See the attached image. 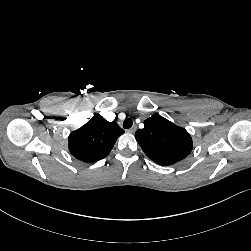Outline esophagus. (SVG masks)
I'll return each instance as SVG.
<instances>
[{"mask_svg": "<svg viewBox=\"0 0 251 251\" xmlns=\"http://www.w3.org/2000/svg\"><path fill=\"white\" fill-rule=\"evenodd\" d=\"M137 127L136 125H134L133 127H131L130 129L127 130L128 133H134L136 131Z\"/></svg>", "mask_w": 251, "mask_h": 251, "instance_id": "esophagus-1", "label": "esophagus"}]
</instances>
